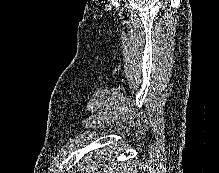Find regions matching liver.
Masks as SVG:
<instances>
[{
	"label": "liver",
	"instance_id": "liver-1",
	"mask_svg": "<svg viewBox=\"0 0 219 173\" xmlns=\"http://www.w3.org/2000/svg\"><path fill=\"white\" fill-rule=\"evenodd\" d=\"M93 154V161L91 159V155L85 157L87 166L84 167V170L87 171V173L88 171H92V173H135L131 168H128L129 165H125L123 162L116 161V157L113 156L112 152H107L106 149H97ZM90 162L92 164H89ZM99 163L102 164L99 165Z\"/></svg>",
	"mask_w": 219,
	"mask_h": 173
}]
</instances>
